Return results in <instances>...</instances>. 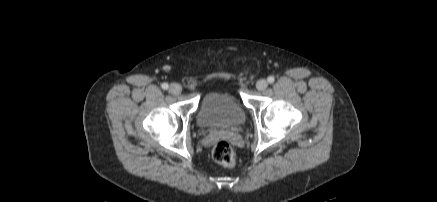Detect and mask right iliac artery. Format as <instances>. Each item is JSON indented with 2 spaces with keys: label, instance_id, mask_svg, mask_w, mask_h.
Masks as SVG:
<instances>
[{
  "label": "right iliac artery",
  "instance_id": "obj_1",
  "mask_svg": "<svg viewBox=\"0 0 437 202\" xmlns=\"http://www.w3.org/2000/svg\"><path fill=\"white\" fill-rule=\"evenodd\" d=\"M168 87H169V85H168L167 83H163V84H162V88H163L164 90L168 89Z\"/></svg>",
  "mask_w": 437,
  "mask_h": 202
}]
</instances>
